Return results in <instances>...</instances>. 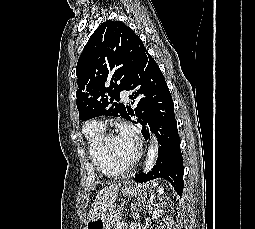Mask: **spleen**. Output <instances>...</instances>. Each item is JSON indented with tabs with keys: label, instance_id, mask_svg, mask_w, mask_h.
Masks as SVG:
<instances>
[{
	"label": "spleen",
	"instance_id": "spleen-1",
	"mask_svg": "<svg viewBox=\"0 0 255 229\" xmlns=\"http://www.w3.org/2000/svg\"><path fill=\"white\" fill-rule=\"evenodd\" d=\"M158 192L161 194V193H163V188L162 187H159L158 188Z\"/></svg>",
	"mask_w": 255,
	"mask_h": 229
}]
</instances>
